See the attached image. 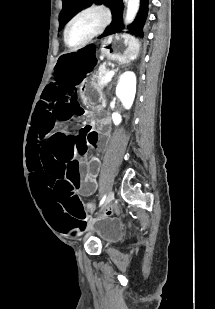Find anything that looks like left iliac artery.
<instances>
[{"instance_id":"44dca946","label":"left iliac artery","mask_w":215,"mask_h":309,"mask_svg":"<svg viewBox=\"0 0 215 309\" xmlns=\"http://www.w3.org/2000/svg\"><path fill=\"white\" fill-rule=\"evenodd\" d=\"M106 201H107V194H104L103 197L100 200L99 206L100 207L104 206L103 204H105Z\"/></svg>"}]
</instances>
